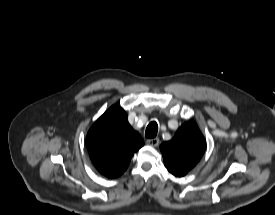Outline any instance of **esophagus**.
<instances>
[{
    "label": "esophagus",
    "mask_w": 275,
    "mask_h": 215,
    "mask_svg": "<svg viewBox=\"0 0 275 215\" xmlns=\"http://www.w3.org/2000/svg\"><path fill=\"white\" fill-rule=\"evenodd\" d=\"M159 138H152V139H148L147 141H146V143L147 144H149V145H151V146H154V147H156V146H158L159 145Z\"/></svg>",
    "instance_id": "34e87169"
}]
</instances>
